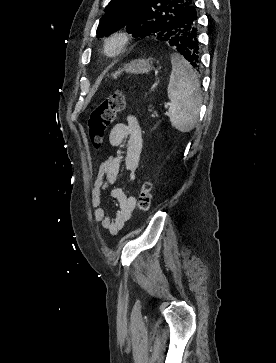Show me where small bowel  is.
Segmentation results:
<instances>
[{"label":"small bowel","instance_id":"obj_1","mask_svg":"<svg viewBox=\"0 0 276 363\" xmlns=\"http://www.w3.org/2000/svg\"><path fill=\"white\" fill-rule=\"evenodd\" d=\"M109 144L117 149L99 165L97 178L91 188V204L94 219L109 233L116 235L130 220L136 209L134 196L115 188L111 195L117 203V212L110 216L102 206V193L113 185L119 177L122 166L128 172V180L135 184L138 180V165L142 150V129L134 115H127L126 122L117 123L109 133Z\"/></svg>","mask_w":276,"mask_h":363}]
</instances>
